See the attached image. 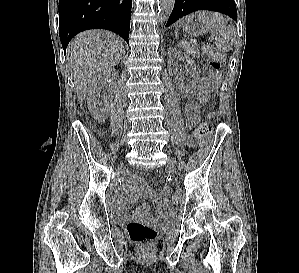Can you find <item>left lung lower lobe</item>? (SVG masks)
I'll return each mask as SVG.
<instances>
[{"label": "left lung lower lobe", "instance_id": "left-lung-lower-lobe-1", "mask_svg": "<svg viewBox=\"0 0 299 273\" xmlns=\"http://www.w3.org/2000/svg\"><path fill=\"white\" fill-rule=\"evenodd\" d=\"M198 10L221 12L237 21V10L234 0H176L166 26H170L179 18Z\"/></svg>", "mask_w": 299, "mask_h": 273}]
</instances>
